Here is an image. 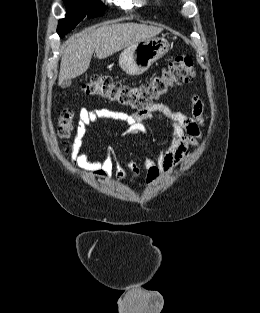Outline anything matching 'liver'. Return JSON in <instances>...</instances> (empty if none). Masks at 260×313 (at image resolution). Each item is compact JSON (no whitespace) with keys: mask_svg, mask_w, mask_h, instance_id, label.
<instances>
[{"mask_svg":"<svg viewBox=\"0 0 260 313\" xmlns=\"http://www.w3.org/2000/svg\"><path fill=\"white\" fill-rule=\"evenodd\" d=\"M162 30L132 22L113 23L97 29L91 27L77 37L69 38L62 54L58 84L85 73L94 51L99 59H104L133 43L155 37Z\"/></svg>","mask_w":260,"mask_h":313,"instance_id":"obj_1","label":"liver"}]
</instances>
